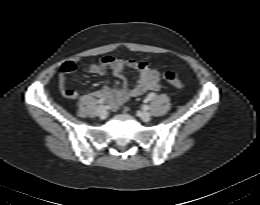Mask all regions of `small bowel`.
Instances as JSON below:
<instances>
[{"label":"small bowel","instance_id":"c3829d8e","mask_svg":"<svg viewBox=\"0 0 260 205\" xmlns=\"http://www.w3.org/2000/svg\"><path fill=\"white\" fill-rule=\"evenodd\" d=\"M78 62V58H73L64 62L59 70V89L67 99H76L79 95L66 84L68 74L75 70ZM127 69L134 70L139 75L138 81L133 86H129L124 77V71ZM88 71L99 75L111 72L117 78L114 86L106 85L101 89L91 92V95L106 100L108 107L112 110L119 108L131 97L139 96L146 91H156L159 89L160 72L144 61L107 55L98 63L90 64Z\"/></svg>","mask_w":260,"mask_h":205}]
</instances>
